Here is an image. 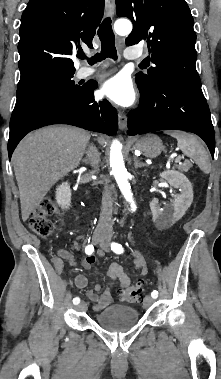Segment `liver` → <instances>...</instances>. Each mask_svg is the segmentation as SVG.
Segmentation results:
<instances>
[{
	"label": "liver",
	"instance_id": "liver-1",
	"mask_svg": "<svg viewBox=\"0 0 221 379\" xmlns=\"http://www.w3.org/2000/svg\"><path fill=\"white\" fill-rule=\"evenodd\" d=\"M90 134L68 126H50L27 135L15 149L12 162L19 188L22 220L26 221L51 187L75 169ZM104 145L105 139L100 137Z\"/></svg>",
	"mask_w": 221,
	"mask_h": 379
}]
</instances>
